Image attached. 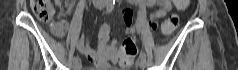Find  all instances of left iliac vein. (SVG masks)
I'll list each match as a JSON object with an SVG mask.
<instances>
[{"mask_svg": "<svg viewBox=\"0 0 238 70\" xmlns=\"http://www.w3.org/2000/svg\"><path fill=\"white\" fill-rule=\"evenodd\" d=\"M138 65L141 69H144L146 66V61L144 59H140V61L138 62Z\"/></svg>", "mask_w": 238, "mask_h": 70, "instance_id": "4c4485c4", "label": "left iliac vein"}]
</instances>
